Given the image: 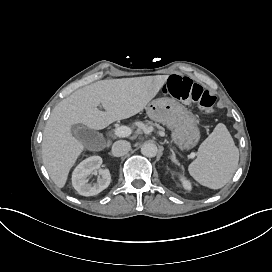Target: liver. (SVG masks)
Here are the masks:
<instances>
[{"instance_id": "liver-1", "label": "liver", "mask_w": 272, "mask_h": 272, "mask_svg": "<svg viewBox=\"0 0 272 272\" xmlns=\"http://www.w3.org/2000/svg\"><path fill=\"white\" fill-rule=\"evenodd\" d=\"M169 75L102 80L74 91L52 110L43 132L42 159L58 188L66 185L70 169L85 151L73 135V126L83 124L101 130L130 118L156 97ZM102 104L106 112L97 107Z\"/></svg>"}]
</instances>
